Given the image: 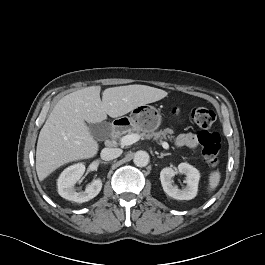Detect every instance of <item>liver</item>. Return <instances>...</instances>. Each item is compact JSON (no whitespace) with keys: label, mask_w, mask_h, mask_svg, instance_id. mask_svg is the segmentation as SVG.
<instances>
[{"label":"liver","mask_w":265,"mask_h":265,"mask_svg":"<svg viewBox=\"0 0 265 265\" xmlns=\"http://www.w3.org/2000/svg\"><path fill=\"white\" fill-rule=\"evenodd\" d=\"M100 86L72 92L58 101L40 131L36 149V171L43 181L60 166L94 157L99 149L87 123H101L109 115L120 117L134 108L159 101L167 92L146 86L107 88Z\"/></svg>","instance_id":"6515ba94"}]
</instances>
